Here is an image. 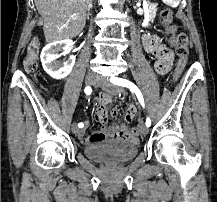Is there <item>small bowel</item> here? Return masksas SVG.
<instances>
[{
	"label": "small bowel",
	"mask_w": 217,
	"mask_h": 202,
	"mask_svg": "<svg viewBox=\"0 0 217 202\" xmlns=\"http://www.w3.org/2000/svg\"><path fill=\"white\" fill-rule=\"evenodd\" d=\"M142 42L145 50L158 59L156 64L157 72L160 74H165L169 70L173 61V53L171 49L163 44L157 36L151 34L144 35ZM111 103L112 96L109 93H102L99 95L95 107L94 118L103 126L101 129L93 132L88 137H85L84 133L80 132L78 137L82 142L93 144L105 138L127 141L134 144L139 142V137L142 131H131L127 125L137 114L136 105L131 103L126 108L124 114L125 123L120 125H107L108 115L106 109L110 108ZM112 115H116L115 109H113Z\"/></svg>",
	"instance_id": "small-bowel-1"
}]
</instances>
